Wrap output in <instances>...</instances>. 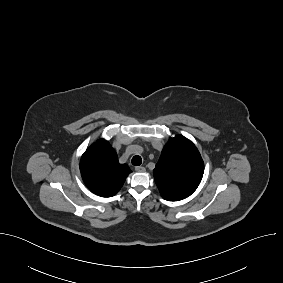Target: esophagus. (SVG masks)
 I'll use <instances>...</instances> for the list:
<instances>
[{
	"instance_id": "1",
	"label": "esophagus",
	"mask_w": 283,
	"mask_h": 283,
	"mask_svg": "<svg viewBox=\"0 0 283 283\" xmlns=\"http://www.w3.org/2000/svg\"><path fill=\"white\" fill-rule=\"evenodd\" d=\"M135 170H136L137 172H144V171H145V167H143V166H137V167H135Z\"/></svg>"
}]
</instances>
